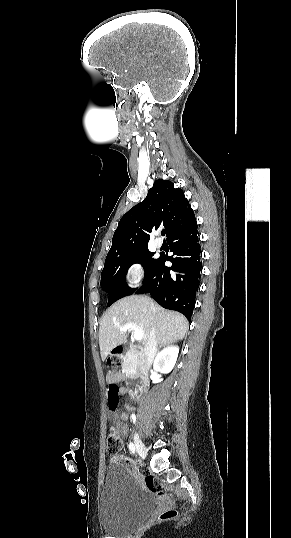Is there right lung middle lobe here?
<instances>
[{
    "instance_id": "1",
    "label": "right lung middle lobe",
    "mask_w": 291,
    "mask_h": 538,
    "mask_svg": "<svg viewBox=\"0 0 291 538\" xmlns=\"http://www.w3.org/2000/svg\"><path fill=\"white\" fill-rule=\"evenodd\" d=\"M153 255L154 253L145 248L105 260L101 273V287L109 294L107 306L135 292V289L130 288L125 280L127 270L132 264H142L145 270L144 281L146 280L157 261Z\"/></svg>"
}]
</instances>
